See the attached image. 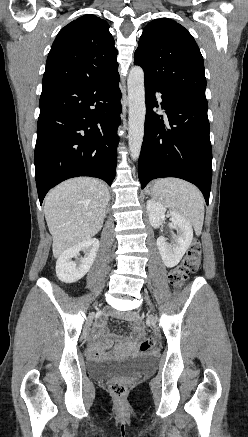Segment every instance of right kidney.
Masks as SVG:
<instances>
[{"label": "right kidney", "instance_id": "obj_1", "mask_svg": "<svg viewBox=\"0 0 248 437\" xmlns=\"http://www.w3.org/2000/svg\"><path fill=\"white\" fill-rule=\"evenodd\" d=\"M98 248L99 240L91 238L63 252L56 262V275L59 280L74 283L84 277L95 260ZM81 251L84 252V257L72 261V258H77Z\"/></svg>", "mask_w": 248, "mask_h": 437}]
</instances>
